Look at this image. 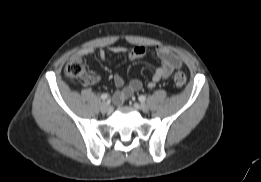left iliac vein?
I'll return each mask as SVG.
<instances>
[{
    "label": "left iliac vein",
    "instance_id": "1",
    "mask_svg": "<svg viewBox=\"0 0 261 182\" xmlns=\"http://www.w3.org/2000/svg\"><path fill=\"white\" fill-rule=\"evenodd\" d=\"M134 108L147 113L149 111V107L145 103H134Z\"/></svg>",
    "mask_w": 261,
    "mask_h": 182
}]
</instances>
